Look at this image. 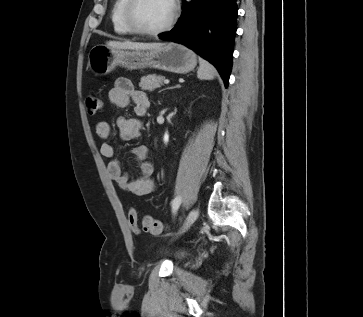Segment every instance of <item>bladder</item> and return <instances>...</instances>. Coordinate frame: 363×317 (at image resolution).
Wrapping results in <instances>:
<instances>
[{
	"instance_id": "obj_1",
	"label": "bladder",
	"mask_w": 363,
	"mask_h": 317,
	"mask_svg": "<svg viewBox=\"0 0 363 317\" xmlns=\"http://www.w3.org/2000/svg\"><path fill=\"white\" fill-rule=\"evenodd\" d=\"M183 256V254L182 253H179L178 255H177V257L178 258H181Z\"/></svg>"
}]
</instances>
